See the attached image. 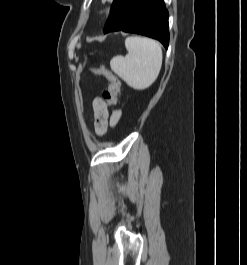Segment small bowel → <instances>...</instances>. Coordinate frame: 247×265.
Wrapping results in <instances>:
<instances>
[{"label": "small bowel", "instance_id": "1", "mask_svg": "<svg viewBox=\"0 0 247 265\" xmlns=\"http://www.w3.org/2000/svg\"><path fill=\"white\" fill-rule=\"evenodd\" d=\"M94 111V129L98 136L106 133L109 126H115L121 116L122 112L116 110L109 115L106 102L101 97H96L92 103Z\"/></svg>", "mask_w": 247, "mask_h": 265}]
</instances>
